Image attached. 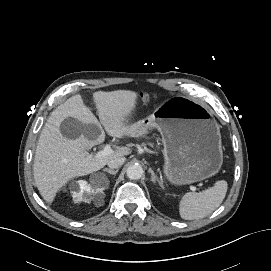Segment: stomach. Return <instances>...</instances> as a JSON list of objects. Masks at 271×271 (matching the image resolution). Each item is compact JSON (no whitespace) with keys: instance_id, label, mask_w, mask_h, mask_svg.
<instances>
[{"instance_id":"obj_1","label":"stomach","mask_w":271,"mask_h":271,"mask_svg":"<svg viewBox=\"0 0 271 271\" xmlns=\"http://www.w3.org/2000/svg\"><path fill=\"white\" fill-rule=\"evenodd\" d=\"M131 137L156 127L164 145V173L174 185H186L215 175L223 152L219 126L209 109L184 97L162 103L150 116L130 125Z\"/></svg>"}]
</instances>
